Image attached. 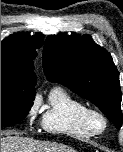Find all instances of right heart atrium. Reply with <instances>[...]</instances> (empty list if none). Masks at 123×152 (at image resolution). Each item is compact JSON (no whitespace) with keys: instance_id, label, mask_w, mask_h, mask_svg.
Returning a JSON list of instances; mask_svg holds the SVG:
<instances>
[{"instance_id":"1","label":"right heart atrium","mask_w":123,"mask_h":152,"mask_svg":"<svg viewBox=\"0 0 123 152\" xmlns=\"http://www.w3.org/2000/svg\"><path fill=\"white\" fill-rule=\"evenodd\" d=\"M38 108H39V102L38 100H34L28 110H27V114H26V117L28 119L29 122H33L36 115H37V111H38Z\"/></svg>"}]
</instances>
